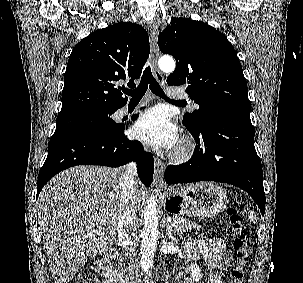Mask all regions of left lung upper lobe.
<instances>
[{
    "label": "left lung upper lobe",
    "instance_id": "5c2ea615",
    "mask_svg": "<svg viewBox=\"0 0 303 283\" xmlns=\"http://www.w3.org/2000/svg\"><path fill=\"white\" fill-rule=\"evenodd\" d=\"M161 52L172 55L176 69L169 85H187L186 92L199 105L182 123L199 130L208 119H250L247 82L236 52L227 37L207 23L172 18L158 37Z\"/></svg>",
    "mask_w": 303,
    "mask_h": 283
}]
</instances>
